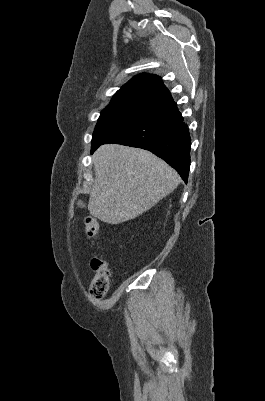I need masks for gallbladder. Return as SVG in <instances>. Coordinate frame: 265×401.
Masks as SVG:
<instances>
[{"label":"gallbladder","instance_id":"gallbladder-1","mask_svg":"<svg viewBox=\"0 0 265 401\" xmlns=\"http://www.w3.org/2000/svg\"><path fill=\"white\" fill-rule=\"evenodd\" d=\"M76 205L77 207H80V209H83V207H85V203H83V201H80V198L79 201H77Z\"/></svg>","mask_w":265,"mask_h":401}]
</instances>
